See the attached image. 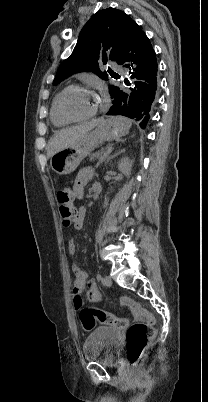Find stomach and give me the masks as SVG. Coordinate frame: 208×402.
Returning <instances> with one entry per match:
<instances>
[{"label": "stomach", "instance_id": "0dacf381", "mask_svg": "<svg viewBox=\"0 0 208 402\" xmlns=\"http://www.w3.org/2000/svg\"><path fill=\"white\" fill-rule=\"evenodd\" d=\"M130 128L131 120L122 118V116H109L107 120L97 126L96 130L86 134L85 138L53 154L50 160L52 170L56 174H60V176L71 174L76 170L83 158H86L99 144L118 140L121 136L128 134Z\"/></svg>", "mask_w": 208, "mask_h": 402}]
</instances>
